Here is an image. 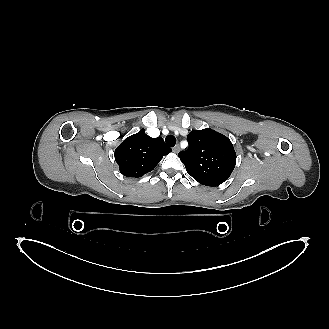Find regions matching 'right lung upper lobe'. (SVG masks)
I'll return each instance as SVG.
<instances>
[{
    "label": "right lung upper lobe",
    "mask_w": 329,
    "mask_h": 329,
    "mask_svg": "<svg viewBox=\"0 0 329 329\" xmlns=\"http://www.w3.org/2000/svg\"><path fill=\"white\" fill-rule=\"evenodd\" d=\"M171 151L162 137L151 138L141 129L115 149V160L123 175L138 178L152 171Z\"/></svg>",
    "instance_id": "1"
}]
</instances>
